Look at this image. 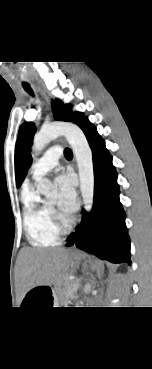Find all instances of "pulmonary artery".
<instances>
[{"mask_svg":"<svg viewBox=\"0 0 152 369\" xmlns=\"http://www.w3.org/2000/svg\"><path fill=\"white\" fill-rule=\"evenodd\" d=\"M62 155L59 146L49 148L41 158H39L31 168V179L37 181L49 173L58 164V159Z\"/></svg>","mask_w":152,"mask_h":369,"instance_id":"pulmonary-artery-1","label":"pulmonary artery"}]
</instances>
